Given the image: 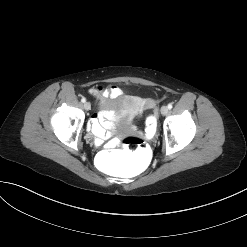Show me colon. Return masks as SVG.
<instances>
[{
    "label": "colon",
    "instance_id": "colon-1",
    "mask_svg": "<svg viewBox=\"0 0 247 247\" xmlns=\"http://www.w3.org/2000/svg\"><path fill=\"white\" fill-rule=\"evenodd\" d=\"M156 120L147 118L143 136L152 138ZM155 159V150L144 139L138 136H128L123 140L122 150L101 148L95 154V165L101 171L119 178L131 179L142 175Z\"/></svg>",
    "mask_w": 247,
    "mask_h": 247
}]
</instances>
